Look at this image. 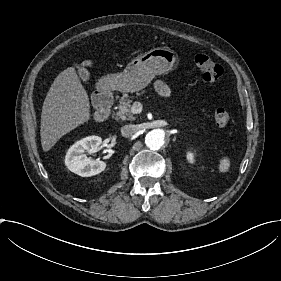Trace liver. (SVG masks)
Here are the masks:
<instances>
[{
    "label": "liver",
    "mask_w": 281,
    "mask_h": 281,
    "mask_svg": "<svg viewBox=\"0 0 281 281\" xmlns=\"http://www.w3.org/2000/svg\"><path fill=\"white\" fill-rule=\"evenodd\" d=\"M92 66L91 60L82 62ZM90 119L89 97L74 67L62 71L51 85L41 113L43 151H49L65 134Z\"/></svg>",
    "instance_id": "1"
}]
</instances>
